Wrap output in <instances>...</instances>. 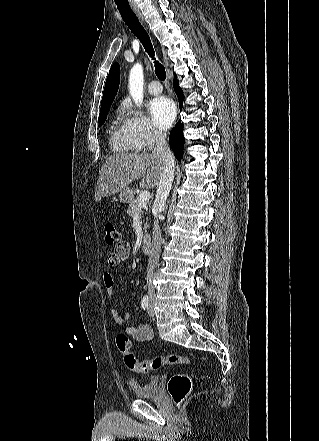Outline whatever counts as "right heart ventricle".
I'll return each mask as SVG.
<instances>
[{"mask_svg": "<svg viewBox=\"0 0 319 441\" xmlns=\"http://www.w3.org/2000/svg\"><path fill=\"white\" fill-rule=\"evenodd\" d=\"M109 141L114 152L129 153L134 151L126 134L125 121L115 118L110 126Z\"/></svg>", "mask_w": 319, "mask_h": 441, "instance_id": "e07e8e85", "label": "right heart ventricle"}]
</instances>
